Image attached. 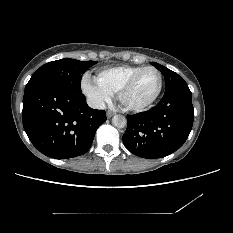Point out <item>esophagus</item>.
I'll return each mask as SVG.
<instances>
[{"label":"esophagus","mask_w":233,"mask_h":233,"mask_svg":"<svg viewBox=\"0 0 233 233\" xmlns=\"http://www.w3.org/2000/svg\"><path fill=\"white\" fill-rule=\"evenodd\" d=\"M113 115H115V112H114V111L108 110V111L106 112L107 118H111Z\"/></svg>","instance_id":"34e87169"}]
</instances>
